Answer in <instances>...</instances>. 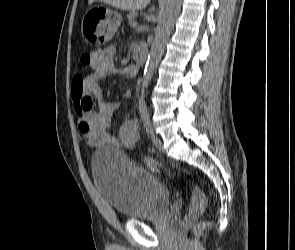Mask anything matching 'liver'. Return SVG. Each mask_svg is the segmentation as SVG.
Returning <instances> with one entry per match:
<instances>
[{"label": "liver", "instance_id": "obj_1", "mask_svg": "<svg viewBox=\"0 0 295 250\" xmlns=\"http://www.w3.org/2000/svg\"><path fill=\"white\" fill-rule=\"evenodd\" d=\"M99 1L106 3L117 9L126 10V11H136L146 8L150 0H89V4Z\"/></svg>", "mask_w": 295, "mask_h": 250}]
</instances>
